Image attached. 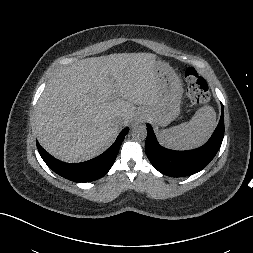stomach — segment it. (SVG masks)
Instances as JSON below:
<instances>
[{
    "label": "stomach",
    "mask_w": 253,
    "mask_h": 253,
    "mask_svg": "<svg viewBox=\"0 0 253 253\" xmlns=\"http://www.w3.org/2000/svg\"><path fill=\"white\" fill-rule=\"evenodd\" d=\"M156 78L159 99L146 112L154 124L167 126L180 114L182 83L172 67L162 61L156 62Z\"/></svg>",
    "instance_id": "stomach-1"
}]
</instances>
